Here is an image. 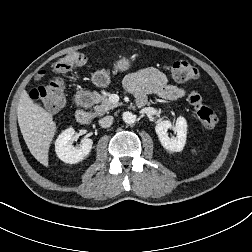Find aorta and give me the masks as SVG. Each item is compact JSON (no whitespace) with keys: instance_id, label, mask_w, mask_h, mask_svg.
Returning <instances> with one entry per match:
<instances>
[{"instance_id":"1","label":"aorta","mask_w":252,"mask_h":252,"mask_svg":"<svg viewBox=\"0 0 252 252\" xmlns=\"http://www.w3.org/2000/svg\"><path fill=\"white\" fill-rule=\"evenodd\" d=\"M122 118L126 124H134L136 121V116L131 112H124Z\"/></svg>"}]
</instances>
